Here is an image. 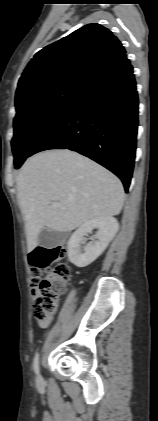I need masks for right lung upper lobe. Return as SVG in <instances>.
Wrapping results in <instances>:
<instances>
[{
	"label": "right lung upper lobe",
	"instance_id": "obj_1",
	"mask_svg": "<svg viewBox=\"0 0 158 421\" xmlns=\"http://www.w3.org/2000/svg\"><path fill=\"white\" fill-rule=\"evenodd\" d=\"M125 53L109 29L87 24L35 54L19 79L15 103L45 89L85 85Z\"/></svg>",
	"mask_w": 158,
	"mask_h": 421
}]
</instances>
